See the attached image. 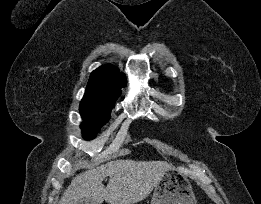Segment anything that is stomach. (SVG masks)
<instances>
[{
	"label": "stomach",
	"mask_w": 261,
	"mask_h": 204,
	"mask_svg": "<svg viewBox=\"0 0 261 204\" xmlns=\"http://www.w3.org/2000/svg\"><path fill=\"white\" fill-rule=\"evenodd\" d=\"M151 204H196V199L187 177L169 169L155 186Z\"/></svg>",
	"instance_id": "stomach-1"
}]
</instances>
